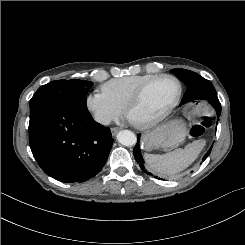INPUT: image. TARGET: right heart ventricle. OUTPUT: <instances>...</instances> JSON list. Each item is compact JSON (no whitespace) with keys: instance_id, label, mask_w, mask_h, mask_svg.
<instances>
[{"instance_id":"e07e8e85","label":"right heart ventricle","mask_w":245,"mask_h":245,"mask_svg":"<svg viewBox=\"0 0 245 245\" xmlns=\"http://www.w3.org/2000/svg\"><path fill=\"white\" fill-rule=\"evenodd\" d=\"M157 75L143 74L124 76L107 81L101 86L102 92L121 108L126 104L136 90L146 81Z\"/></svg>"}]
</instances>
